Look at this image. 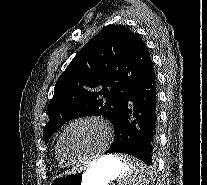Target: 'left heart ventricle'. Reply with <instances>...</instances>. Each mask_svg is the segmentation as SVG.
I'll use <instances>...</instances> for the list:
<instances>
[{
	"instance_id": "1",
	"label": "left heart ventricle",
	"mask_w": 207,
	"mask_h": 185,
	"mask_svg": "<svg viewBox=\"0 0 207 185\" xmlns=\"http://www.w3.org/2000/svg\"><path fill=\"white\" fill-rule=\"evenodd\" d=\"M106 130L95 121H82L73 125L65 135L64 146L74 158L99 152L106 139Z\"/></svg>"
}]
</instances>
